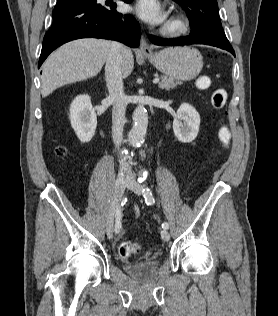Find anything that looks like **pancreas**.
Masks as SVG:
<instances>
[{
    "label": "pancreas",
    "instance_id": "1",
    "mask_svg": "<svg viewBox=\"0 0 278 316\" xmlns=\"http://www.w3.org/2000/svg\"><path fill=\"white\" fill-rule=\"evenodd\" d=\"M180 83L181 82L175 78L162 76L161 81L159 83V88L170 90V89H173L174 87H176Z\"/></svg>",
    "mask_w": 278,
    "mask_h": 316
}]
</instances>
